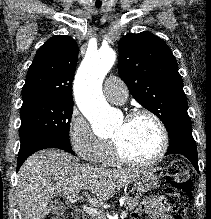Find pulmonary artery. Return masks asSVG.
Here are the masks:
<instances>
[{
    "label": "pulmonary artery",
    "mask_w": 211,
    "mask_h": 219,
    "mask_svg": "<svg viewBox=\"0 0 211 219\" xmlns=\"http://www.w3.org/2000/svg\"><path fill=\"white\" fill-rule=\"evenodd\" d=\"M103 89L105 97L112 103L122 104L128 98V89L119 77L112 76L107 78Z\"/></svg>",
    "instance_id": "pulmonary-artery-1"
}]
</instances>
